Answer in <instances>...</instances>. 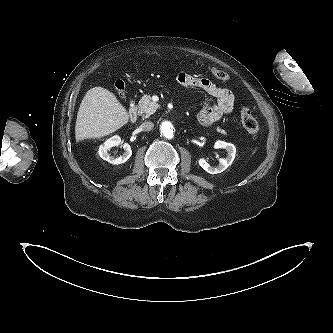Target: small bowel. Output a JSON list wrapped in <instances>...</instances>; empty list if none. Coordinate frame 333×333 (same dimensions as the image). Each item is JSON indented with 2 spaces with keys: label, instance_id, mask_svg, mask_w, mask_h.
<instances>
[{
  "label": "small bowel",
  "instance_id": "c3829d8e",
  "mask_svg": "<svg viewBox=\"0 0 333 333\" xmlns=\"http://www.w3.org/2000/svg\"><path fill=\"white\" fill-rule=\"evenodd\" d=\"M177 81L184 87H196L204 90L216 99L215 103L203 108L198 114V120L204 125H212L224 115L231 114L234 108V95L226 88L218 87L211 80L204 77L180 72Z\"/></svg>",
  "mask_w": 333,
  "mask_h": 333
}]
</instances>
